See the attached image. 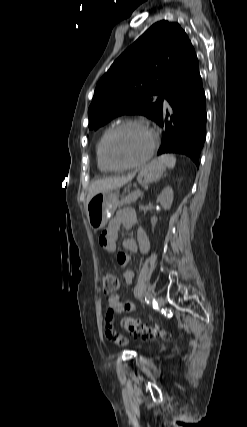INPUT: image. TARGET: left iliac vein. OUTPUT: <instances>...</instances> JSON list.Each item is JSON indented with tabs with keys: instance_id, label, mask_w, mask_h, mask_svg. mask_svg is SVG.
Returning a JSON list of instances; mask_svg holds the SVG:
<instances>
[{
	"instance_id": "left-iliac-vein-1",
	"label": "left iliac vein",
	"mask_w": 247,
	"mask_h": 427,
	"mask_svg": "<svg viewBox=\"0 0 247 427\" xmlns=\"http://www.w3.org/2000/svg\"><path fill=\"white\" fill-rule=\"evenodd\" d=\"M156 303H157V305L159 306V307H161V306H163L164 305V299L162 298V297H157L156 298Z\"/></svg>"
}]
</instances>
